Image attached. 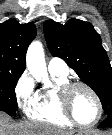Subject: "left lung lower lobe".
I'll return each mask as SVG.
<instances>
[{
  "instance_id": "left-lung-lower-lobe-1",
  "label": "left lung lower lobe",
  "mask_w": 112,
  "mask_h": 135,
  "mask_svg": "<svg viewBox=\"0 0 112 135\" xmlns=\"http://www.w3.org/2000/svg\"><path fill=\"white\" fill-rule=\"evenodd\" d=\"M102 127L112 128V116H108L101 124H99L98 128H102Z\"/></svg>"
}]
</instances>
